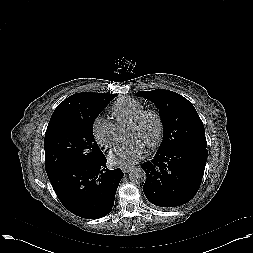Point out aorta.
Returning a JSON list of instances; mask_svg holds the SVG:
<instances>
[{
  "instance_id": "obj_1",
  "label": "aorta",
  "mask_w": 253,
  "mask_h": 253,
  "mask_svg": "<svg viewBox=\"0 0 253 253\" xmlns=\"http://www.w3.org/2000/svg\"><path fill=\"white\" fill-rule=\"evenodd\" d=\"M129 178L133 183H142L146 179V173L141 168H135L129 173Z\"/></svg>"
}]
</instances>
